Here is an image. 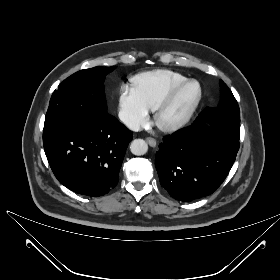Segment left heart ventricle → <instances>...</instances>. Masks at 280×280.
Masks as SVG:
<instances>
[{
  "label": "left heart ventricle",
  "mask_w": 280,
  "mask_h": 280,
  "mask_svg": "<svg viewBox=\"0 0 280 280\" xmlns=\"http://www.w3.org/2000/svg\"><path fill=\"white\" fill-rule=\"evenodd\" d=\"M197 92L198 88L195 84L183 89L171 106L162 114L161 121L167 123L180 117L194 101Z\"/></svg>",
  "instance_id": "left-heart-ventricle-1"
}]
</instances>
